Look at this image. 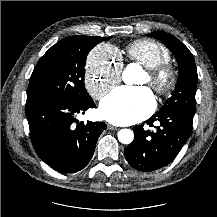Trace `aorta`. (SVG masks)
Returning a JSON list of instances; mask_svg holds the SVG:
<instances>
[{"label":"aorta","mask_w":217,"mask_h":217,"mask_svg":"<svg viewBox=\"0 0 217 217\" xmlns=\"http://www.w3.org/2000/svg\"><path fill=\"white\" fill-rule=\"evenodd\" d=\"M140 72V67L137 64H129L123 71L122 77L126 84L135 83L136 76ZM118 140L123 144H130L134 139V133L130 129H121L118 134Z\"/></svg>","instance_id":"aorta-1"}]
</instances>
